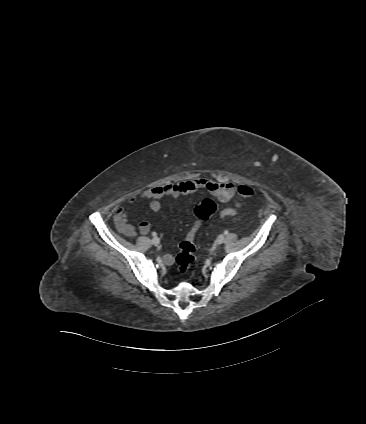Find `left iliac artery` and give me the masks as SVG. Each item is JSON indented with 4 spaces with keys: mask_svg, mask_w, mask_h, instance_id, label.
<instances>
[{
    "mask_svg": "<svg viewBox=\"0 0 366 424\" xmlns=\"http://www.w3.org/2000/svg\"><path fill=\"white\" fill-rule=\"evenodd\" d=\"M228 233H229V232H228V230H225V231H224V234H225V235H227Z\"/></svg>",
    "mask_w": 366,
    "mask_h": 424,
    "instance_id": "1",
    "label": "left iliac artery"
}]
</instances>
